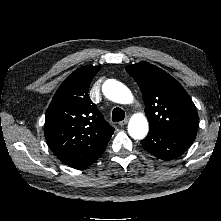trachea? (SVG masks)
Masks as SVG:
<instances>
[{"instance_id": "obj_1", "label": "trachea", "mask_w": 221, "mask_h": 221, "mask_svg": "<svg viewBox=\"0 0 221 221\" xmlns=\"http://www.w3.org/2000/svg\"><path fill=\"white\" fill-rule=\"evenodd\" d=\"M125 117V112L119 107L114 108L112 112V121L119 122L122 121Z\"/></svg>"}]
</instances>
